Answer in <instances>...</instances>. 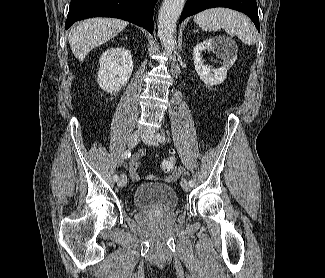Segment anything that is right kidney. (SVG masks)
Masks as SVG:
<instances>
[{
	"label": "right kidney",
	"instance_id": "obj_1",
	"mask_svg": "<svg viewBox=\"0 0 325 278\" xmlns=\"http://www.w3.org/2000/svg\"><path fill=\"white\" fill-rule=\"evenodd\" d=\"M99 62L98 84L109 93H118L133 72L131 52L124 47H111L102 53Z\"/></svg>",
	"mask_w": 325,
	"mask_h": 278
}]
</instances>
